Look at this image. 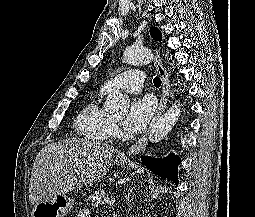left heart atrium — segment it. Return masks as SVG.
I'll return each mask as SVG.
<instances>
[{"label":"left heart atrium","mask_w":255,"mask_h":217,"mask_svg":"<svg viewBox=\"0 0 255 217\" xmlns=\"http://www.w3.org/2000/svg\"><path fill=\"white\" fill-rule=\"evenodd\" d=\"M153 112L154 103L150 98L133 99L122 122L124 130L129 134L139 133L146 126Z\"/></svg>","instance_id":"obj_1"}]
</instances>
